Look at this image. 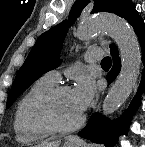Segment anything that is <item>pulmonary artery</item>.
Returning <instances> with one entry per match:
<instances>
[{"instance_id":"e3ab8cb5","label":"pulmonary artery","mask_w":145,"mask_h":147,"mask_svg":"<svg viewBox=\"0 0 145 147\" xmlns=\"http://www.w3.org/2000/svg\"><path fill=\"white\" fill-rule=\"evenodd\" d=\"M103 57V51L99 48L89 49L84 53V59L86 62L93 63L100 60ZM48 78L53 81H57L60 78L59 72L56 70H51L45 74Z\"/></svg>"}]
</instances>
